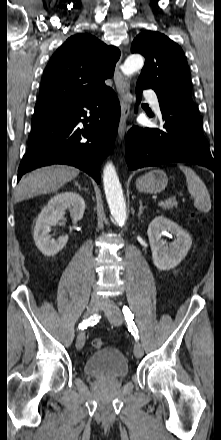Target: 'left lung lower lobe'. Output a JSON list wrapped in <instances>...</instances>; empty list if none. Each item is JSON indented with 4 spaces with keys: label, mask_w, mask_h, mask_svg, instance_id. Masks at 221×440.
Instances as JSON below:
<instances>
[{
    "label": "left lung lower lobe",
    "mask_w": 221,
    "mask_h": 440,
    "mask_svg": "<svg viewBox=\"0 0 221 440\" xmlns=\"http://www.w3.org/2000/svg\"><path fill=\"white\" fill-rule=\"evenodd\" d=\"M147 87L136 85L137 97ZM164 129L132 127L126 137L130 170L170 162H189L215 170L198 112L159 100Z\"/></svg>",
    "instance_id": "obj_1"
}]
</instances>
